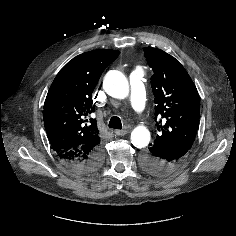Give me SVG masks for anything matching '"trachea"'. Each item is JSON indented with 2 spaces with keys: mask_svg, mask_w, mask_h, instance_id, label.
Listing matches in <instances>:
<instances>
[{
  "mask_svg": "<svg viewBox=\"0 0 236 236\" xmlns=\"http://www.w3.org/2000/svg\"><path fill=\"white\" fill-rule=\"evenodd\" d=\"M109 128L113 129H122V122L121 119L117 116H113L108 124Z\"/></svg>",
  "mask_w": 236,
  "mask_h": 236,
  "instance_id": "3493384b",
  "label": "trachea"
}]
</instances>
